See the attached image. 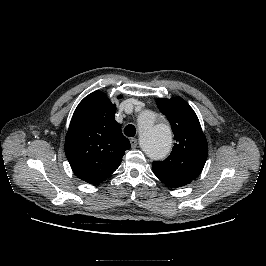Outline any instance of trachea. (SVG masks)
Returning <instances> with one entry per match:
<instances>
[{
    "label": "trachea",
    "instance_id": "1",
    "mask_svg": "<svg viewBox=\"0 0 266 266\" xmlns=\"http://www.w3.org/2000/svg\"><path fill=\"white\" fill-rule=\"evenodd\" d=\"M124 134L128 137H134L136 134V128L134 125L129 124L124 128Z\"/></svg>",
    "mask_w": 266,
    "mask_h": 266
}]
</instances>
